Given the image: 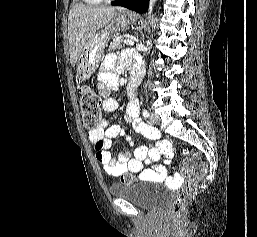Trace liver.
Instances as JSON below:
<instances>
[{
  "label": "liver",
  "mask_w": 257,
  "mask_h": 237,
  "mask_svg": "<svg viewBox=\"0 0 257 237\" xmlns=\"http://www.w3.org/2000/svg\"><path fill=\"white\" fill-rule=\"evenodd\" d=\"M115 13L114 7L75 4L69 12L68 37L70 62L75 66L88 39L106 26Z\"/></svg>",
  "instance_id": "1"
}]
</instances>
